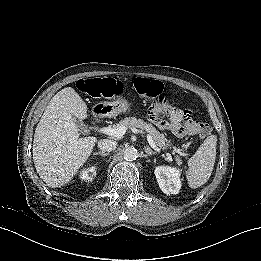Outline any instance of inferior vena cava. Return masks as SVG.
<instances>
[{
	"mask_svg": "<svg viewBox=\"0 0 261 261\" xmlns=\"http://www.w3.org/2000/svg\"><path fill=\"white\" fill-rule=\"evenodd\" d=\"M98 148L103 152H111L116 148V142L109 139H102L98 142Z\"/></svg>",
	"mask_w": 261,
	"mask_h": 261,
	"instance_id": "inferior-vena-cava-1",
	"label": "inferior vena cava"
}]
</instances>
